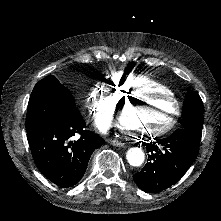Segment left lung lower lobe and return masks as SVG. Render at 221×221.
I'll return each instance as SVG.
<instances>
[{"label": "left lung lower lobe", "instance_id": "obj_1", "mask_svg": "<svg viewBox=\"0 0 221 221\" xmlns=\"http://www.w3.org/2000/svg\"><path fill=\"white\" fill-rule=\"evenodd\" d=\"M200 140V133L181 128L158 142L143 143L151 152L148 156L151 161L133 176L137 186L145 192L155 193L178 182L196 159Z\"/></svg>", "mask_w": 221, "mask_h": 221}]
</instances>
